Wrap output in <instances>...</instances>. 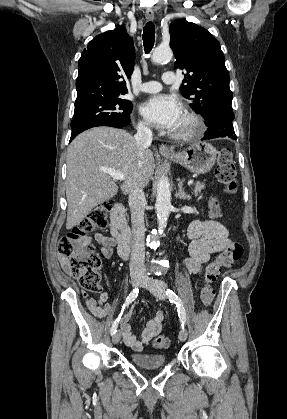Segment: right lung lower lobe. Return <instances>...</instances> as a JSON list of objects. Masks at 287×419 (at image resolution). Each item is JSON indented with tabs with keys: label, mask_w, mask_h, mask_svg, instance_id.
<instances>
[{
	"label": "right lung lower lobe",
	"mask_w": 287,
	"mask_h": 419,
	"mask_svg": "<svg viewBox=\"0 0 287 419\" xmlns=\"http://www.w3.org/2000/svg\"><path fill=\"white\" fill-rule=\"evenodd\" d=\"M97 126H110V127H115V128H124L127 125H120V124H114V123H97V124H93V125H90V126L84 128V129L80 130L79 132L71 135L70 141H72L79 133H81V132H83V131H85V130H87L89 128L97 127Z\"/></svg>",
	"instance_id": "obj_1"
}]
</instances>
